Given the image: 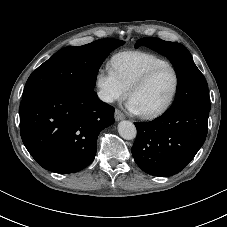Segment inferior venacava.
Wrapping results in <instances>:
<instances>
[{
    "label": "inferior vena cava",
    "instance_id": "1",
    "mask_svg": "<svg viewBox=\"0 0 227 227\" xmlns=\"http://www.w3.org/2000/svg\"><path fill=\"white\" fill-rule=\"evenodd\" d=\"M97 94H98V97L104 102L112 103L114 101L113 96L108 94L107 92H104L101 90Z\"/></svg>",
    "mask_w": 227,
    "mask_h": 227
}]
</instances>
